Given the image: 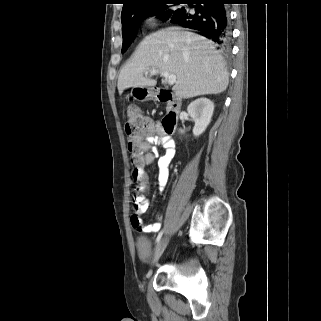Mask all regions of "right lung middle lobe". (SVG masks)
Segmentation results:
<instances>
[{"mask_svg":"<svg viewBox=\"0 0 321 321\" xmlns=\"http://www.w3.org/2000/svg\"><path fill=\"white\" fill-rule=\"evenodd\" d=\"M181 1L183 0H163L154 5L147 6L136 13L121 17L123 36L122 53H124L133 42L136 29L143 19L156 16L162 21H168L178 9H172L167 4L179 5Z\"/></svg>","mask_w":321,"mask_h":321,"instance_id":"obj_1","label":"right lung middle lobe"}]
</instances>
